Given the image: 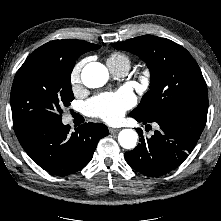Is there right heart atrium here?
<instances>
[{
	"mask_svg": "<svg viewBox=\"0 0 221 221\" xmlns=\"http://www.w3.org/2000/svg\"><path fill=\"white\" fill-rule=\"evenodd\" d=\"M83 62L80 61L78 62L72 69L71 73H70V83L72 85V88L74 90H76L81 82V71H82V67H83Z\"/></svg>",
	"mask_w": 221,
	"mask_h": 221,
	"instance_id": "1",
	"label": "right heart atrium"
}]
</instances>
